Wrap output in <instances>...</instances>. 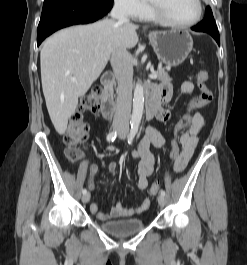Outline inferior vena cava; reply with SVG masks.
<instances>
[{"instance_id":"obj_1","label":"inferior vena cava","mask_w":247,"mask_h":265,"mask_svg":"<svg viewBox=\"0 0 247 265\" xmlns=\"http://www.w3.org/2000/svg\"><path fill=\"white\" fill-rule=\"evenodd\" d=\"M111 17L118 20V23H129L121 4L115 3ZM111 66L118 82L116 100V112L113 119L115 126L129 128V119L132 104V79L133 67L131 55L127 49H116L111 55Z\"/></svg>"}]
</instances>
